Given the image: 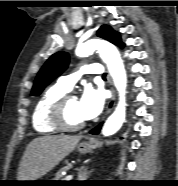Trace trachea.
<instances>
[{"label":"trachea","instance_id":"obj_1","mask_svg":"<svg viewBox=\"0 0 178 186\" xmlns=\"http://www.w3.org/2000/svg\"><path fill=\"white\" fill-rule=\"evenodd\" d=\"M103 78H106V74H103Z\"/></svg>","mask_w":178,"mask_h":186}]
</instances>
